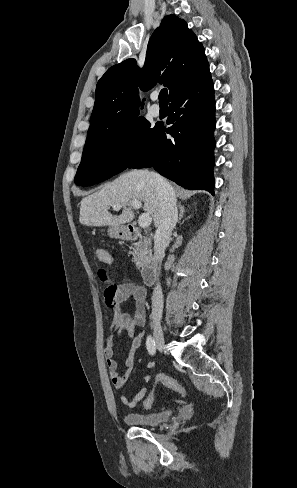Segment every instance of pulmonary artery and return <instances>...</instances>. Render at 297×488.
<instances>
[{"instance_id": "1", "label": "pulmonary artery", "mask_w": 297, "mask_h": 488, "mask_svg": "<svg viewBox=\"0 0 297 488\" xmlns=\"http://www.w3.org/2000/svg\"><path fill=\"white\" fill-rule=\"evenodd\" d=\"M158 98L157 94H153L152 95V99L153 100H156ZM150 113L154 116V117H158L160 115V108L159 106L157 105H153L151 108H150Z\"/></svg>"}]
</instances>
